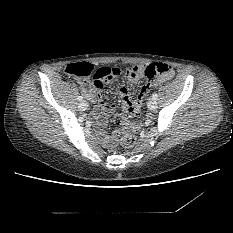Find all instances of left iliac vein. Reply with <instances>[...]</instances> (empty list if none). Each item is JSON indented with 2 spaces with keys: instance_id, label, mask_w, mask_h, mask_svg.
I'll list each match as a JSON object with an SVG mask.
<instances>
[{
  "instance_id": "4c4485c4",
  "label": "left iliac vein",
  "mask_w": 233,
  "mask_h": 233,
  "mask_svg": "<svg viewBox=\"0 0 233 233\" xmlns=\"http://www.w3.org/2000/svg\"><path fill=\"white\" fill-rule=\"evenodd\" d=\"M156 107H157L156 101H154V100L149 101V103H148V108H149L150 110H155Z\"/></svg>"
}]
</instances>
